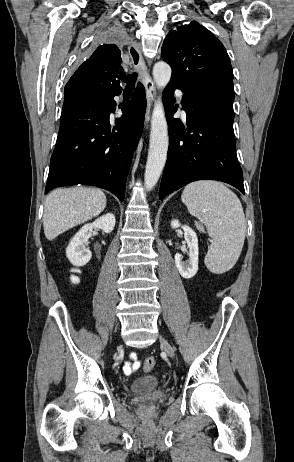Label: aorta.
<instances>
[{
  "instance_id": "1",
  "label": "aorta",
  "mask_w": 294,
  "mask_h": 462,
  "mask_svg": "<svg viewBox=\"0 0 294 462\" xmlns=\"http://www.w3.org/2000/svg\"><path fill=\"white\" fill-rule=\"evenodd\" d=\"M153 78L161 92L170 81L171 67L165 62H157L153 68ZM168 145V126L159 96L152 113L150 144L144 175L147 191L152 190L160 178L167 159Z\"/></svg>"
}]
</instances>
